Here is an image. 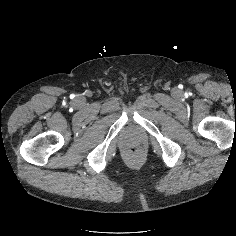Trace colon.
<instances>
[{
  "label": "colon",
  "mask_w": 236,
  "mask_h": 236,
  "mask_svg": "<svg viewBox=\"0 0 236 236\" xmlns=\"http://www.w3.org/2000/svg\"><path fill=\"white\" fill-rule=\"evenodd\" d=\"M128 153L131 155H139L140 154V148L136 146H132L128 148Z\"/></svg>",
  "instance_id": "5ec220e1"
}]
</instances>
